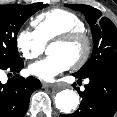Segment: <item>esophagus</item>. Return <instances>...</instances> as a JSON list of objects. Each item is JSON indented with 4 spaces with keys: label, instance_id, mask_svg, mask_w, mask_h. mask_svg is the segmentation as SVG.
I'll use <instances>...</instances> for the list:
<instances>
[{
    "label": "esophagus",
    "instance_id": "esophagus-1",
    "mask_svg": "<svg viewBox=\"0 0 117 117\" xmlns=\"http://www.w3.org/2000/svg\"><path fill=\"white\" fill-rule=\"evenodd\" d=\"M54 85L50 84V83H46V82H42V87L43 88H51L53 87Z\"/></svg>",
    "mask_w": 117,
    "mask_h": 117
}]
</instances>
